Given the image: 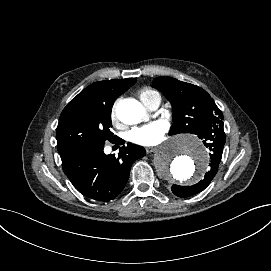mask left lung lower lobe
<instances>
[{
    "mask_svg": "<svg viewBox=\"0 0 271 271\" xmlns=\"http://www.w3.org/2000/svg\"><path fill=\"white\" fill-rule=\"evenodd\" d=\"M204 145L210 150L211 169L205 174L204 179L192 186L173 185L172 192L178 197H189L204 190L216 175L217 169L221 162L223 147L226 141V135L222 126H217L211 132L199 136Z\"/></svg>",
    "mask_w": 271,
    "mask_h": 271,
    "instance_id": "1",
    "label": "left lung lower lobe"
}]
</instances>
